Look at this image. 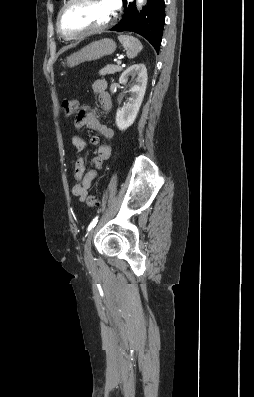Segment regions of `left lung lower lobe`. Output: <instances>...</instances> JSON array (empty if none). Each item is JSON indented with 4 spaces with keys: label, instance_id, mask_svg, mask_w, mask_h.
<instances>
[{
    "label": "left lung lower lobe",
    "instance_id": "0a47b994",
    "mask_svg": "<svg viewBox=\"0 0 254 397\" xmlns=\"http://www.w3.org/2000/svg\"><path fill=\"white\" fill-rule=\"evenodd\" d=\"M124 15L111 31H133L145 37L159 53L165 21L164 0H147V5L140 13L135 3L123 0Z\"/></svg>",
    "mask_w": 254,
    "mask_h": 397
}]
</instances>
